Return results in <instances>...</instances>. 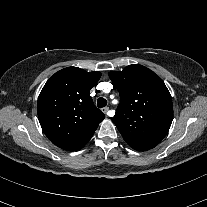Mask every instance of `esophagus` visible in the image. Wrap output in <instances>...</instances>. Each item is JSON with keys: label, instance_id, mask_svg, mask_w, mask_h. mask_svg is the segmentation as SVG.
Masks as SVG:
<instances>
[{"label": "esophagus", "instance_id": "34e87169", "mask_svg": "<svg viewBox=\"0 0 207 207\" xmlns=\"http://www.w3.org/2000/svg\"><path fill=\"white\" fill-rule=\"evenodd\" d=\"M102 111L106 114L109 115V108L108 107H103Z\"/></svg>", "mask_w": 207, "mask_h": 207}]
</instances>
